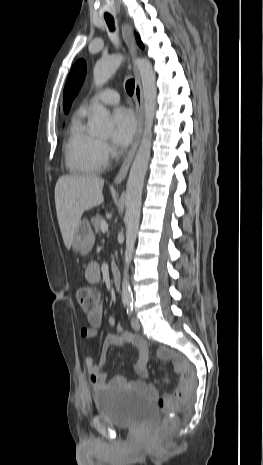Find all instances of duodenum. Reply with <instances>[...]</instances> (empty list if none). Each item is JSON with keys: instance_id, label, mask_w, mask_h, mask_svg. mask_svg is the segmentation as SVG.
<instances>
[{"instance_id": "obj_1", "label": "duodenum", "mask_w": 263, "mask_h": 465, "mask_svg": "<svg viewBox=\"0 0 263 465\" xmlns=\"http://www.w3.org/2000/svg\"><path fill=\"white\" fill-rule=\"evenodd\" d=\"M113 284L117 290L121 288V274L119 271H114L112 274Z\"/></svg>"}]
</instances>
